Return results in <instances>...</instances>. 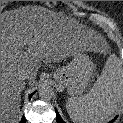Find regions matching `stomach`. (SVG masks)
<instances>
[{
	"instance_id": "stomach-1",
	"label": "stomach",
	"mask_w": 123,
	"mask_h": 123,
	"mask_svg": "<svg viewBox=\"0 0 123 123\" xmlns=\"http://www.w3.org/2000/svg\"><path fill=\"white\" fill-rule=\"evenodd\" d=\"M93 63L85 51L77 50L67 66L59 68L53 74L57 83L67 88L69 95L82 94L91 81Z\"/></svg>"
}]
</instances>
